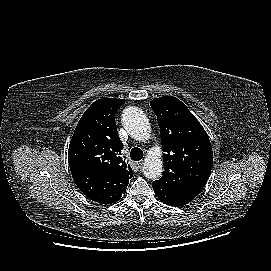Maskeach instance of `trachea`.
Segmentation results:
<instances>
[{
  "label": "trachea",
  "instance_id": "trachea-1",
  "mask_svg": "<svg viewBox=\"0 0 271 271\" xmlns=\"http://www.w3.org/2000/svg\"><path fill=\"white\" fill-rule=\"evenodd\" d=\"M130 157L134 161H139L143 158V151L140 148H133L130 152Z\"/></svg>",
  "mask_w": 271,
  "mask_h": 271
}]
</instances>
